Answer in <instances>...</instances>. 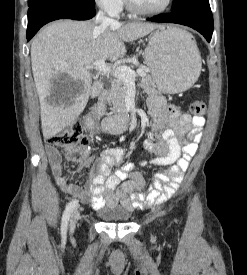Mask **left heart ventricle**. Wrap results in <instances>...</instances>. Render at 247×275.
<instances>
[{
  "mask_svg": "<svg viewBox=\"0 0 247 275\" xmlns=\"http://www.w3.org/2000/svg\"><path fill=\"white\" fill-rule=\"evenodd\" d=\"M135 3L143 9H157L162 7L166 0H134Z\"/></svg>",
  "mask_w": 247,
  "mask_h": 275,
  "instance_id": "b2bd125f",
  "label": "left heart ventricle"
}]
</instances>
